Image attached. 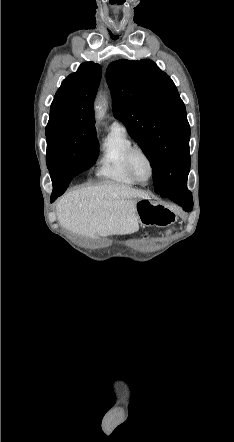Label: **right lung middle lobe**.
<instances>
[{"mask_svg": "<svg viewBox=\"0 0 234 442\" xmlns=\"http://www.w3.org/2000/svg\"><path fill=\"white\" fill-rule=\"evenodd\" d=\"M46 139L49 170L70 163L77 175L89 169L99 155L96 132L84 131L70 120H49Z\"/></svg>", "mask_w": 234, "mask_h": 442, "instance_id": "dd1d6c3e", "label": "right lung middle lobe"}]
</instances>
